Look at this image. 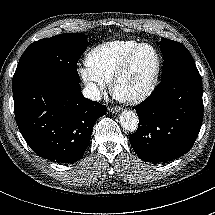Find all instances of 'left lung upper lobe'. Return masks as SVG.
<instances>
[{"instance_id": "5c2ea615", "label": "left lung upper lobe", "mask_w": 215, "mask_h": 215, "mask_svg": "<svg viewBox=\"0 0 215 215\" xmlns=\"http://www.w3.org/2000/svg\"><path fill=\"white\" fill-rule=\"evenodd\" d=\"M157 44L164 57L161 81L184 69L195 67L190 52L181 43L162 38Z\"/></svg>"}]
</instances>
